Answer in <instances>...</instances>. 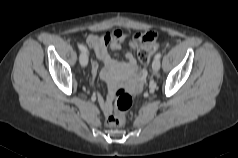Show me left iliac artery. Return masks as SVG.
I'll return each instance as SVG.
<instances>
[{"label":"left iliac artery","instance_id":"1","mask_svg":"<svg viewBox=\"0 0 238 158\" xmlns=\"http://www.w3.org/2000/svg\"><path fill=\"white\" fill-rule=\"evenodd\" d=\"M161 58V53H157L156 55H155V59H160Z\"/></svg>","mask_w":238,"mask_h":158}]
</instances>
